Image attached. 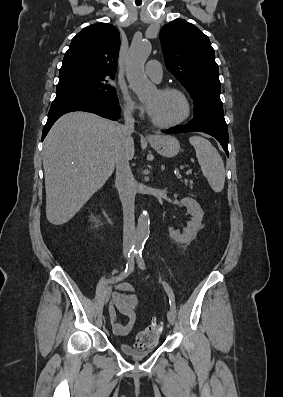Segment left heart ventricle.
<instances>
[{"instance_id": "left-heart-ventricle-1", "label": "left heart ventricle", "mask_w": 283, "mask_h": 397, "mask_svg": "<svg viewBox=\"0 0 283 397\" xmlns=\"http://www.w3.org/2000/svg\"><path fill=\"white\" fill-rule=\"evenodd\" d=\"M152 105L151 117L160 122H170L181 117L185 111L182 98L174 93L154 91L147 99Z\"/></svg>"}]
</instances>
